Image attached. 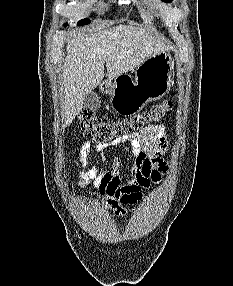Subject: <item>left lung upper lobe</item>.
I'll use <instances>...</instances> for the list:
<instances>
[{"label":"left lung upper lobe","mask_w":233,"mask_h":286,"mask_svg":"<svg viewBox=\"0 0 233 286\" xmlns=\"http://www.w3.org/2000/svg\"><path fill=\"white\" fill-rule=\"evenodd\" d=\"M164 2H166V3H169V2H171L172 0H163Z\"/></svg>","instance_id":"5c2ea615"}]
</instances>
